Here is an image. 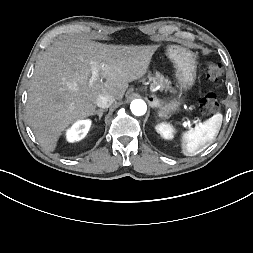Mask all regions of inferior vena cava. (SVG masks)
Wrapping results in <instances>:
<instances>
[{"label": "inferior vena cava", "instance_id": "inferior-vena-cava-1", "mask_svg": "<svg viewBox=\"0 0 253 253\" xmlns=\"http://www.w3.org/2000/svg\"><path fill=\"white\" fill-rule=\"evenodd\" d=\"M115 101V97L109 94L100 95L96 99V105L100 108H108Z\"/></svg>", "mask_w": 253, "mask_h": 253}]
</instances>
